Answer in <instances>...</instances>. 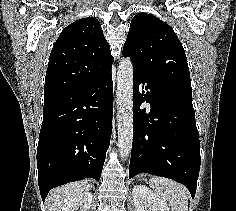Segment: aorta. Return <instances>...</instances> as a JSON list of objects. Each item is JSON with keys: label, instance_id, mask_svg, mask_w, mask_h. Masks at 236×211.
<instances>
[{"label": "aorta", "instance_id": "1", "mask_svg": "<svg viewBox=\"0 0 236 211\" xmlns=\"http://www.w3.org/2000/svg\"><path fill=\"white\" fill-rule=\"evenodd\" d=\"M116 96L118 148L121 158H126L133 142V63L129 58L120 62Z\"/></svg>", "mask_w": 236, "mask_h": 211}]
</instances>
